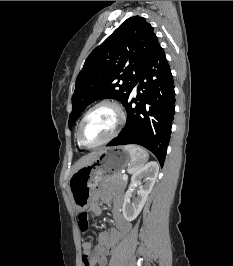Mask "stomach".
Segmentation results:
<instances>
[{"instance_id": "0dacf381", "label": "stomach", "mask_w": 233, "mask_h": 266, "mask_svg": "<svg viewBox=\"0 0 233 266\" xmlns=\"http://www.w3.org/2000/svg\"><path fill=\"white\" fill-rule=\"evenodd\" d=\"M131 164V155L125 147H110L105 148L91 164L75 171L69 180V190L76 210H85L90 195L98 185Z\"/></svg>"}]
</instances>
